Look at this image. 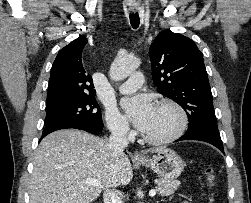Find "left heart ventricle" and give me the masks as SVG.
<instances>
[{
	"label": "left heart ventricle",
	"instance_id": "1",
	"mask_svg": "<svg viewBox=\"0 0 251 203\" xmlns=\"http://www.w3.org/2000/svg\"><path fill=\"white\" fill-rule=\"evenodd\" d=\"M178 115L171 107H155L149 126L144 131L150 137H164L171 134L178 125Z\"/></svg>",
	"mask_w": 251,
	"mask_h": 203
}]
</instances>
